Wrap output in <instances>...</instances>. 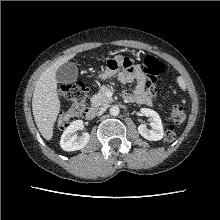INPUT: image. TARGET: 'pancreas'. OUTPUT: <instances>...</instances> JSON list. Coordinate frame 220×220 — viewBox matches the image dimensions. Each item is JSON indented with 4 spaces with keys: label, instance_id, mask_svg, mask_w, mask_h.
<instances>
[{
    "label": "pancreas",
    "instance_id": "pancreas-1",
    "mask_svg": "<svg viewBox=\"0 0 220 220\" xmlns=\"http://www.w3.org/2000/svg\"><path fill=\"white\" fill-rule=\"evenodd\" d=\"M107 91L108 89L105 86L101 87L100 91L92 96L91 98L92 105L95 107H107L108 104L113 101L112 98H108L106 96Z\"/></svg>",
    "mask_w": 220,
    "mask_h": 220
}]
</instances>
